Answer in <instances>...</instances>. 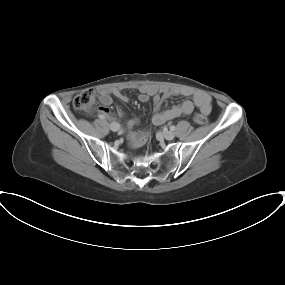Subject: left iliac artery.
Wrapping results in <instances>:
<instances>
[{"label": "left iliac artery", "mask_w": 285, "mask_h": 285, "mask_svg": "<svg viewBox=\"0 0 285 285\" xmlns=\"http://www.w3.org/2000/svg\"><path fill=\"white\" fill-rule=\"evenodd\" d=\"M176 129V127L174 125L170 126V130L174 131Z\"/></svg>", "instance_id": "obj_1"}]
</instances>
